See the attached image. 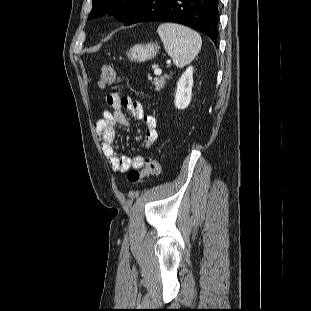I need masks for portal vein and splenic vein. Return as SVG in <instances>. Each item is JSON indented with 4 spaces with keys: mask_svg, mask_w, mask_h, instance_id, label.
<instances>
[{
    "mask_svg": "<svg viewBox=\"0 0 311 311\" xmlns=\"http://www.w3.org/2000/svg\"><path fill=\"white\" fill-rule=\"evenodd\" d=\"M154 73H155V75H161L162 70L159 69V68H156V69L154 70Z\"/></svg>",
    "mask_w": 311,
    "mask_h": 311,
    "instance_id": "portal-vein-and-splenic-vein-1",
    "label": "portal vein and splenic vein"
}]
</instances>
